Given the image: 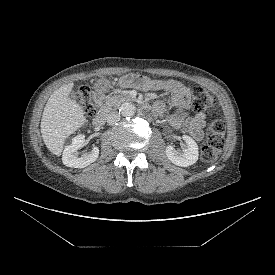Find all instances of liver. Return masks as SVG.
Listing matches in <instances>:
<instances>
[{"mask_svg":"<svg viewBox=\"0 0 275 275\" xmlns=\"http://www.w3.org/2000/svg\"><path fill=\"white\" fill-rule=\"evenodd\" d=\"M73 84L55 90L48 99L41 119V134L50 152L60 156L66 138L87 121L82 107L70 99Z\"/></svg>","mask_w":275,"mask_h":275,"instance_id":"6515ba94","label":"liver"}]
</instances>
